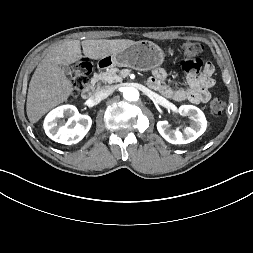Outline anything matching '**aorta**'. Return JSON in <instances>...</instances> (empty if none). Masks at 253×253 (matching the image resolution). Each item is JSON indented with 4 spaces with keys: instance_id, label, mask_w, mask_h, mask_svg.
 I'll use <instances>...</instances> for the list:
<instances>
[{
    "instance_id": "762f6f07",
    "label": "aorta",
    "mask_w": 253,
    "mask_h": 253,
    "mask_svg": "<svg viewBox=\"0 0 253 253\" xmlns=\"http://www.w3.org/2000/svg\"><path fill=\"white\" fill-rule=\"evenodd\" d=\"M123 96L128 101H137L139 99V92L133 87H126Z\"/></svg>"
}]
</instances>
